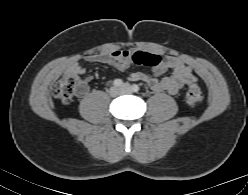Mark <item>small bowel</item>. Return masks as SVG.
<instances>
[{
    "label": "small bowel",
    "instance_id": "1",
    "mask_svg": "<svg viewBox=\"0 0 248 195\" xmlns=\"http://www.w3.org/2000/svg\"><path fill=\"white\" fill-rule=\"evenodd\" d=\"M85 61L105 63L116 67L120 71H125L130 67L129 53L127 51H114L111 53H97L88 56ZM173 71L169 77H161L166 69ZM86 72L84 63H73L66 71L67 74L83 76ZM131 81H144L155 92H168L176 94L185 85L197 81L192 69L177 57H164L161 62L151 69V72H131ZM86 93V92H85ZM84 93V94H85Z\"/></svg>",
    "mask_w": 248,
    "mask_h": 195
}]
</instances>
